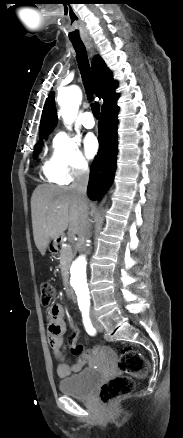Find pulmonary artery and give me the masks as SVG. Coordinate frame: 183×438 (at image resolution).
<instances>
[{"label":"pulmonary artery","instance_id":"1","mask_svg":"<svg viewBox=\"0 0 183 438\" xmlns=\"http://www.w3.org/2000/svg\"><path fill=\"white\" fill-rule=\"evenodd\" d=\"M82 123H83L84 127L88 128V129L94 127L95 121H94L93 114L91 111L84 112L83 117H82Z\"/></svg>","mask_w":183,"mask_h":438}]
</instances>
